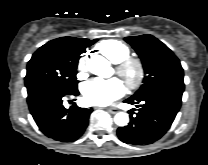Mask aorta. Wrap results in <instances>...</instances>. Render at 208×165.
Returning a JSON list of instances; mask_svg holds the SVG:
<instances>
[{"label":"aorta","instance_id":"1","mask_svg":"<svg viewBox=\"0 0 208 165\" xmlns=\"http://www.w3.org/2000/svg\"><path fill=\"white\" fill-rule=\"evenodd\" d=\"M88 70L98 76L108 77L109 76V62L100 55H93L87 60ZM114 122L118 126H126L129 122V116L125 112H119L114 117Z\"/></svg>","mask_w":208,"mask_h":165}]
</instances>
